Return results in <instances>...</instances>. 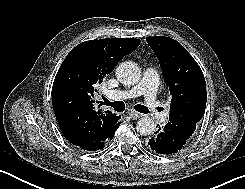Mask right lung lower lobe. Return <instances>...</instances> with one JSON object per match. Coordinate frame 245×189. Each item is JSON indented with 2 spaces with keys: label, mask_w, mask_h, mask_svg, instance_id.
<instances>
[{
  "label": "right lung lower lobe",
  "mask_w": 245,
  "mask_h": 189,
  "mask_svg": "<svg viewBox=\"0 0 245 189\" xmlns=\"http://www.w3.org/2000/svg\"><path fill=\"white\" fill-rule=\"evenodd\" d=\"M106 116L98 118L95 122L96 131L92 140L85 143H73L81 149L88 151H96L102 149L110 139L113 138L115 131L119 127L120 122H117L112 128L108 126ZM120 119V116H119Z\"/></svg>",
  "instance_id": "obj_1"
}]
</instances>
